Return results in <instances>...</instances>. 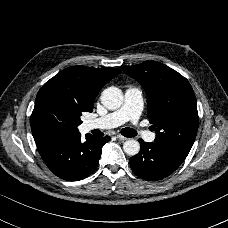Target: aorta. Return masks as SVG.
<instances>
[{"label":"aorta","mask_w":228,"mask_h":228,"mask_svg":"<svg viewBox=\"0 0 228 228\" xmlns=\"http://www.w3.org/2000/svg\"><path fill=\"white\" fill-rule=\"evenodd\" d=\"M123 102V94L119 88L108 87L101 94V103L108 110H116L120 108ZM126 154L134 156L140 150V144L137 140H126L123 144Z\"/></svg>","instance_id":"1"}]
</instances>
